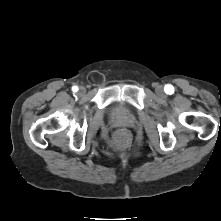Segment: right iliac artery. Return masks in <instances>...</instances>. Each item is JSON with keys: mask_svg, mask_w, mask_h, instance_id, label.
<instances>
[{"mask_svg": "<svg viewBox=\"0 0 221 221\" xmlns=\"http://www.w3.org/2000/svg\"><path fill=\"white\" fill-rule=\"evenodd\" d=\"M72 90H73L74 92H77V91H78V87H77V86H73Z\"/></svg>", "mask_w": 221, "mask_h": 221, "instance_id": "82829eb1", "label": "right iliac artery"}]
</instances>
